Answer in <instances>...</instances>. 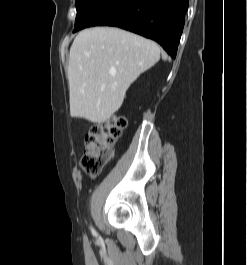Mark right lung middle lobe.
I'll list each match as a JSON object with an SVG mask.
<instances>
[{"label":"right lung middle lobe","mask_w":247,"mask_h":265,"mask_svg":"<svg viewBox=\"0 0 247 265\" xmlns=\"http://www.w3.org/2000/svg\"><path fill=\"white\" fill-rule=\"evenodd\" d=\"M99 0H75L77 16L75 20V26L82 20L87 12L98 2Z\"/></svg>","instance_id":"obj_1"}]
</instances>
